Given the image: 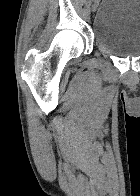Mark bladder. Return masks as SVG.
Instances as JSON below:
<instances>
[{
	"label": "bladder",
	"mask_w": 140,
	"mask_h": 196,
	"mask_svg": "<svg viewBox=\"0 0 140 196\" xmlns=\"http://www.w3.org/2000/svg\"><path fill=\"white\" fill-rule=\"evenodd\" d=\"M93 34L96 44L111 55L140 56V0H103Z\"/></svg>",
	"instance_id": "obj_1"
}]
</instances>
